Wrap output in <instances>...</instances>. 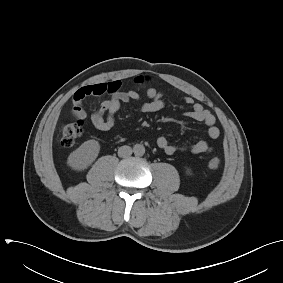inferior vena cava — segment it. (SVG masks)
I'll use <instances>...</instances> for the list:
<instances>
[{
    "label": "inferior vena cava",
    "instance_id": "obj_1",
    "mask_svg": "<svg viewBox=\"0 0 283 283\" xmlns=\"http://www.w3.org/2000/svg\"><path fill=\"white\" fill-rule=\"evenodd\" d=\"M133 150L131 147L129 146H121L119 149H118V156L119 157H122V158H125V157H128L132 154Z\"/></svg>",
    "mask_w": 283,
    "mask_h": 283
}]
</instances>
